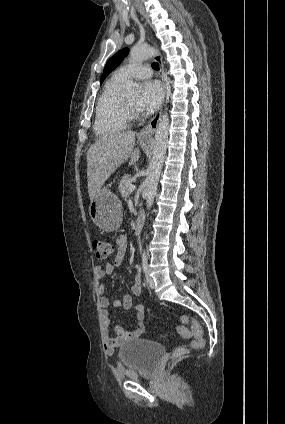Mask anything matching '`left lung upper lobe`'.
Returning a JSON list of instances; mask_svg holds the SVG:
<instances>
[{"instance_id": "1", "label": "left lung upper lobe", "mask_w": 285, "mask_h": 424, "mask_svg": "<svg viewBox=\"0 0 285 424\" xmlns=\"http://www.w3.org/2000/svg\"><path fill=\"white\" fill-rule=\"evenodd\" d=\"M128 52V48H124L109 59L104 67L100 83H102L104 79L122 62V60L128 55Z\"/></svg>"}]
</instances>
